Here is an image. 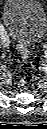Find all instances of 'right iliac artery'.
Returning a JSON list of instances; mask_svg holds the SVG:
<instances>
[{
  "instance_id": "right-iliac-artery-1",
  "label": "right iliac artery",
  "mask_w": 47,
  "mask_h": 129,
  "mask_svg": "<svg viewBox=\"0 0 47 129\" xmlns=\"http://www.w3.org/2000/svg\"><path fill=\"white\" fill-rule=\"evenodd\" d=\"M0 36H1L2 42H5V41L8 40V38L6 37V34H5L4 29L2 28V26L0 27Z\"/></svg>"
}]
</instances>
